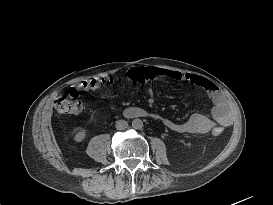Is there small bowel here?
Here are the masks:
<instances>
[{
  "instance_id": "1",
  "label": "small bowel",
  "mask_w": 273,
  "mask_h": 205,
  "mask_svg": "<svg viewBox=\"0 0 273 205\" xmlns=\"http://www.w3.org/2000/svg\"><path fill=\"white\" fill-rule=\"evenodd\" d=\"M149 70V81L156 80L161 77H166L174 80H187L195 86L203 88L213 103L211 110V117L204 114H193L187 121L182 123H176L168 119L164 120V124L167 128L178 133H190V134H207L214 128H221L228 126L232 122V116L230 113L229 105L225 99L223 93L219 88L210 80L203 76L195 74H182L174 70H167L161 68H147ZM76 90V89H73ZM129 115H136L139 111L137 107H129L127 109Z\"/></svg>"
}]
</instances>
